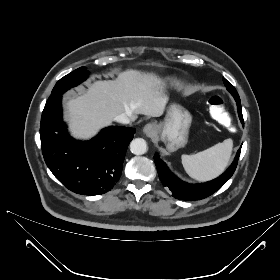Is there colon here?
I'll use <instances>...</instances> for the list:
<instances>
[{
	"label": "colon",
	"instance_id": "colon-1",
	"mask_svg": "<svg viewBox=\"0 0 280 280\" xmlns=\"http://www.w3.org/2000/svg\"><path fill=\"white\" fill-rule=\"evenodd\" d=\"M208 107L211 117L219 124L224 125L225 130L230 134H235L239 130V125L235 119L230 117L226 103L221 96L215 95L209 98Z\"/></svg>",
	"mask_w": 280,
	"mask_h": 280
}]
</instances>
